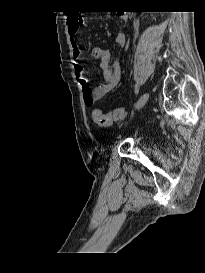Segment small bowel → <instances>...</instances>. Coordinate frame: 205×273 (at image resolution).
<instances>
[{"label":"small bowel","mask_w":205,"mask_h":273,"mask_svg":"<svg viewBox=\"0 0 205 273\" xmlns=\"http://www.w3.org/2000/svg\"><path fill=\"white\" fill-rule=\"evenodd\" d=\"M75 19L76 17L68 19V32L71 37L72 55L75 60H80L83 58V50L75 39L80 29ZM115 43L117 45H124L126 43V36L118 34L115 38ZM91 54L93 58L100 61L104 82L91 89L87 84L83 67L80 64L75 66V74L82 84L84 102L87 107H92L97 101L112 91L118 85L121 77L120 68L117 63L112 61L111 54L107 49L94 46Z\"/></svg>","instance_id":"1"}]
</instances>
